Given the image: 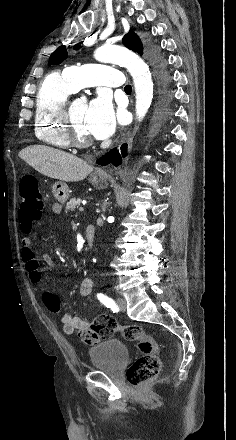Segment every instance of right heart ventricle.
<instances>
[{"label": "right heart ventricle", "mask_w": 236, "mask_h": 440, "mask_svg": "<svg viewBox=\"0 0 236 440\" xmlns=\"http://www.w3.org/2000/svg\"><path fill=\"white\" fill-rule=\"evenodd\" d=\"M73 92L75 90L64 74L51 73L40 84L35 100L34 131L40 141L51 147H69L60 116Z\"/></svg>", "instance_id": "1"}]
</instances>
